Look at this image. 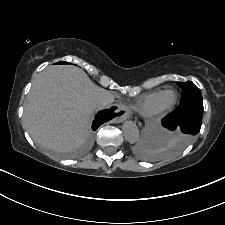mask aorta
<instances>
[{
    "label": "aorta",
    "mask_w": 225,
    "mask_h": 225,
    "mask_svg": "<svg viewBox=\"0 0 225 225\" xmlns=\"http://www.w3.org/2000/svg\"><path fill=\"white\" fill-rule=\"evenodd\" d=\"M122 132L125 137V139L130 142V143H136L139 141L140 134H139V129L131 121H126L122 125Z\"/></svg>",
    "instance_id": "obj_1"
}]
</instances>
